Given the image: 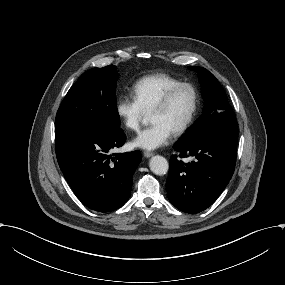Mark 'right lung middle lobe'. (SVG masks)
<instances>
[{
    "mask_svg": "<svg viewBox=\"0 0 285 285\" xmlns=\"http://www.w3.org/2000/svg\"><path fill=\"white\" fill-rule=\"evenodd\" d=\"M117 79V68L114 65L92 68L82 74L57 111L55 130H119L115 94Z\"/></svg>",
    "mask_w": 285,
    "mask_h": 285,
    "instance_id": "right-lung-middle-lobe-1",
    "label": "right lung middle lobe"
}]
</instances>
